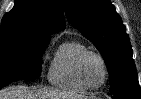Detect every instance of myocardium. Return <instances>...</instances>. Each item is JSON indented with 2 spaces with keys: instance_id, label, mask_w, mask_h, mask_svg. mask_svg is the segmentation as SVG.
<instances>
[{
  "instance_id": "f54148a6",
  "label": "myocardium",
  "mask_w": 141,
  "mask_h": 99,
  "mask_svg": "<svg viewBox=\"0 0 141 99\" xmlns=\"http://www.w3.org/2000/svg\"><path fill=\"white\" fill-rule=\"evenodd\" d=\"M90 56H94V57L98 58L103 66V69H104L103 81L101 82V84L96 85V86L89 84L84 76V71H83L84 63H85L86 59ZM77 75H78V78L81 81V83L85 87H87L88 89L97 90V89H100L101 87H103L109 78V69H108V65H107V62H106L104 56L101 53L94 51V50H86L85 52H83L81 54V56L79 57V60L77 63Z\"/></svg>"
}]
</instances>
